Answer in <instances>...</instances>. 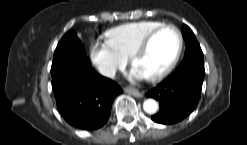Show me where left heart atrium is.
<instances>
[{"instance_id":"left-heart-atrium-1","label":"left heart atrium","mask_w":247,"mask_h":145,"mask_svg":"<svg viewBox=\"0 0 247 145\" xmlns=\"http://www.w3.org/2000/svg\"><path fill=\"white\" fill-rule=\"evenodd\" d=\"M131 76L135 79H143L146 76L142 74L140 71H138L136 68L132 70Z\"/></svg>"}]
</instances>
